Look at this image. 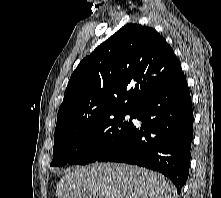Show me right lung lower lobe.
Wrapping results in <instances>:
<instances>
[{"label": "right lung lower lobe", "mask_w": 221, "mask_h": 198, "mask_svg": "<svg viewBox=\"0 0 221 198\" xmlns=\"http://www.w3.org/2000/svg\"><path fill=\"white\" fill-rule=\"evenodd\" d=\"M142 127L128 134L96 161H115L143 166L170 178L181 192L190 167L193 109L189 88L180 75L154 94L135 113Z\"/></svg>", "instance_id": "98d812e1"}]
</instances>
